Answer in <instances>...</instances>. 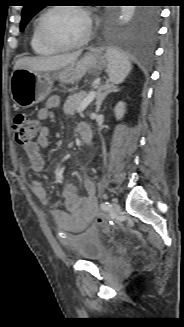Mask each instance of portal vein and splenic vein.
<instances>
[{
    "label": "portal vein and splenic vein",
    "mask_w": 184,
    "mask_h": 327,
    "mask_svg": "<svg viewBox=\"0 0 184 327\" xmlns=\"http://www.w3.org/2000/svg\"><path fill=\"white\" fill-rule=\"evenodd\" d=\"M95 91H92L88 94V96L83 100L80 107L78 108V112L81 113L95 98Z\"/></svg>",
    "instance_id": "1"
}]
</instances>
